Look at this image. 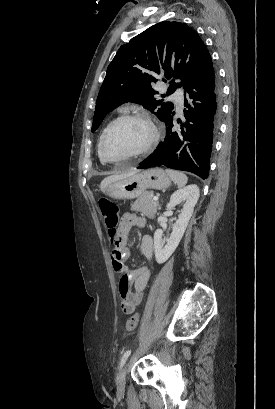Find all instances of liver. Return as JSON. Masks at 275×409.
<instances>
[{
    "mask_svg": "<svg viewBox=\"0 0 275 409\" xmlns=\"http://www.w3.org/2000/svg\"><path fill=\"white\" fill-rule=\"evenodd\" d=\"M136 172H139V170H137V168H134V170H128V172H121V174H111V176H106V178H103L100 184V190H102V192H105L106 186H108L110 182L119 180V178H126V176H132V174H136Z\"/></svg>",
    "mask_w": 275,
    "mask_h": 409,
    "instance_id": "1",
    "label": "liver"
}]
</instances>
